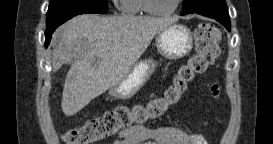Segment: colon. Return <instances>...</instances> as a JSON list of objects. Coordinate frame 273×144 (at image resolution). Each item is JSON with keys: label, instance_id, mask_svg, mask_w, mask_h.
<instances>
[{"label": "colon", "instance_id": "colon-1", "mask_svg": "<svg viewBox=\"0 0 273 144\" xmlns=\"http://www.w3.org/2000/svg\"><path fill=\"white\" fill-rule=\"evenodd\" d=\"M194 36L195 55L180 68L161 95L130 107L117 106L100 117L90 119L82 126L67 131L65 142L67 144L96 143L164 114L169 107L180 100L189 84L196 77L203 75L219 55L220 33L214 24L200 23Z\"/></svg>", "mask_w": 273, "mask_h": 144}]
</instances>
